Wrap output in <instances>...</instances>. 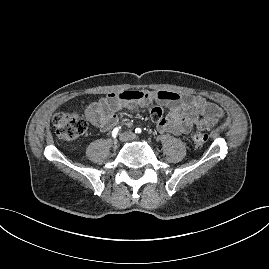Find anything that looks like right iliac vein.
Returning <instances> with one entry per match:
<instances>
[{"label": "right iliac vein", "instance_id": "obj_1", "mask_svg": "<svg viewBox=\"0 0 269 269\" xmlns=\"http://www.w3.org/2000/svg\"><path fill=\"white\" fill-rule=\"evenodd\" d=\"M119 140H120L121 142L126 141V137H125L123 134H120V136H119Z\"/></svg>", "mask_w": 269, "mask_h": 269}]
</instances>
